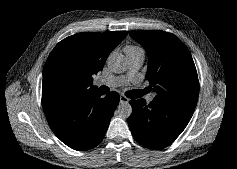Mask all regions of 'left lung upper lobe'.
Returning a JSON list of instances; mask_svg holds the SVG:
<instances>
[{"label": "left lung upper lobe", "mask_w": 237, "mask_h": 169, "mask_svg": "<svg viewBox=\"0 0 237 169\" xmlns=\"http://www.w3.org/2000/svg\"><path fill=\"white\" fill-rule=\"evenodd\" d=\"M149 57L146 79L157 93L155 100L196 107L199 82L187 47L173 34L159 30L130 31Z\"/></svg>", "instance_id": "5c2ea615"}]
</instances>
